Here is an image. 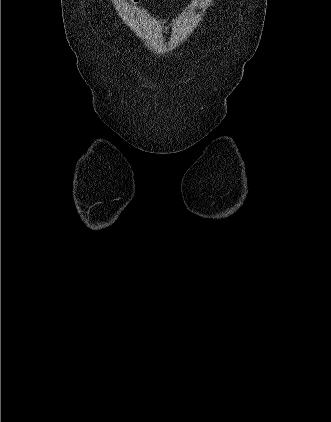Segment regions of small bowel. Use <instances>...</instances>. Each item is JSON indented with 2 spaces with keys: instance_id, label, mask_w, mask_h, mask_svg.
I'll return each instance as SVG.
<instances>
[{
  "instance_id": "1",
  "label": "small bowel",
  "mask_w": 331,
  "mask_h": 422,
  "mask_svg": "<svg viewBox=\"0 0 331 422\" xmlns=\"http://www.w3.org/2000/svg\"><path fill=\"white\" fill-rule=\"evenodd\" d=\"M140 0H130L131 3L137 4Z\"/></svg>"
}]
</instances>
